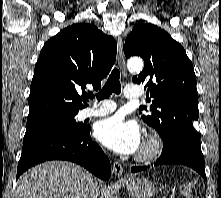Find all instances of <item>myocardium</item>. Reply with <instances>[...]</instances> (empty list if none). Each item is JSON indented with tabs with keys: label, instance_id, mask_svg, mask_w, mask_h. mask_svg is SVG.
Wrapping results in <instances>:
<instances>
[{
	"label": "myocardium",
	"instance_id": "obj_1",
	"mask_svg": "<svg viewBox=\"0 0 221 198\" xmlns=\"http://www.w3.org/2000/svg\"><path fill=\"white\" fill-rule=\"evenodd\" d=\"M162 148L163 143L159 136L153 133L147 134L135 159L140 163L151 162L160 155Z\"/></svg>",
	"mask_w": 221,
	"mask_h": 198
}]
</instances>
